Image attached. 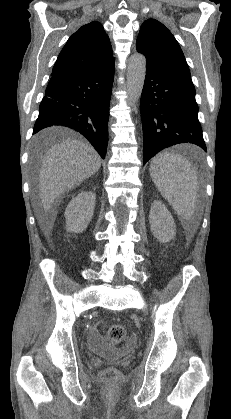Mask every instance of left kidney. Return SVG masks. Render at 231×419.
<instances>
[{"label": "left kidney", "mask_w": 231, "mask_h": 419, "mask_svg": "<svg viewBox=\"0 0 231 419\" xmlns=\"http://www.w3.org/2000/svg\"><path fill=\"white\" fill-rule=\"evenodd\" d=\"M149 223L152 234L159 242L166 243L174 239L176 234L174 219L159 200H155L151 204Z\"/></svg>", "instance_id": "left-kidney-1"}]
</instances>
